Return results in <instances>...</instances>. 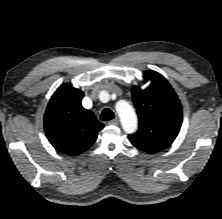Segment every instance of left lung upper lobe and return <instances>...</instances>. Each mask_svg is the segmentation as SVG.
<instances>
[{
	"label": "left lung upper lobe",
	"instance_id": "1",
	"mask_svg": "<svg viewBox=\"0 0 222 219\" xmlns=\"http://www.w3.org/2000/svg\"><path fill=\"white\" fill-rule=\"evenodd\" d=\"M145 80H150L146 89L132 87L140 126L129 139L138 149L154 153L168 147L178 135L182 108L173 88L161 74L145 71Z\"/></svg>",
	"mask_w": 222,
	"mask_h": 219
}]
</instances>
